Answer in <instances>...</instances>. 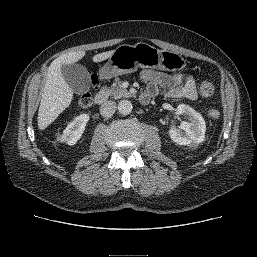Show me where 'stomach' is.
Listing matches in <instances>:
<instances>
[{
    "label": "stomach",
    "mask_w": 257,
    "mask_h": 257,
    "mask_svg": "<svg viewBox=\"0 0 257 257\" xmlns=\"http://www.w3.org/2000/svg\"><path fill=\"white\" fill-rule=\"evenodd\" d=\"M139 67L178 71L186 67V60L177 53L159 50L146 43L124 44L114 51L101 68L100 75L108 79L135 72Z\"/></svg>",
    "instance_id": "stomach-1"
}]
</instances>
